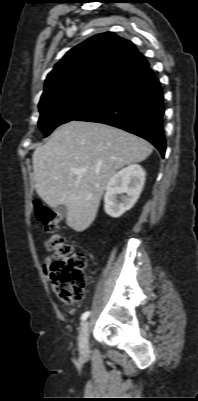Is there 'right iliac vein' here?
<instances>
[{"label":"right iliac vein","instance_id":"63e3f726","mask_svg":"<svg viewBox=\"0 0 198 401\" xmlns=\"http://www.w3.org/2000/svg\"><path fill=\"white\" fill-rule=\"evenodd\" d=\"M88 332H89V322L85 321L80 328L79 339H78L79 350L81 355L83 356L87 355L89 350Z\"/></svg>","mask_w":198,"mask_h":401}]
</instances>
